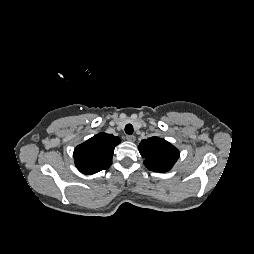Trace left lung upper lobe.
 Masks as SVG:
<instances>
[{"mask_svg": "<svg viewBox=\"0 0 254 254\" xmlns=\"http://www.w3.org/2000/svg\"><path fill=\"white\" fill-rule=\"evenodd\" d=\"M139 152L145 158V165L155 172H167L179 158V151L165 139L150 137L142 140L138 146Z\"/></svg>", "mask_w": 254, "mask_h": 254, "instance_id": "1", "label": "left lung upper lobe"}]
</instances>
